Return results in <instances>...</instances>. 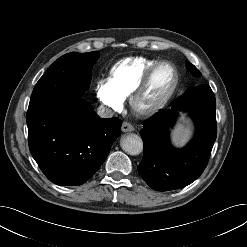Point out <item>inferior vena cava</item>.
Returning a JSON list of instances; mask_svg holds the SVG:
<instances>
[{
	"instance_id": "inferior-vena-cava-1",
	"label": "inferior vena cava",
	"mask_w": 247,
	"mask_h": 247,
	"mask_svg": "<svg viewBox=\"0 0 247 247\" xmlns=\"http://www.w3.org/2000/svg\"><path fill=\"white\" fill-rule=\"evenodd\" d=\"M97 114L101 118H111V117H113L114 112L110 108H107V107L101 105L97 109Z\"/></svg>"
}]
</instances>
